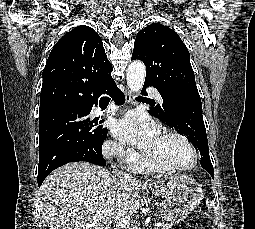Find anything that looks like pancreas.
I'll use <instances>...</instances> for the list:
<instances>
[{"mask_svg": "<svg viewBox=\"0 0 255 229\" xmlns=\"http://www.w3.org/2000/svg\"><path fill=\"white\" fill-rule=\"evenodd\" d=\"M124 229H130V228H124ZM155 229H171V225L162 223L160 226L156 227Z\"/></svg>", "mask_w": 255, "mask_h": 229, "instance_id": "obj_1", "label": "pancreas"}]
</instances>
